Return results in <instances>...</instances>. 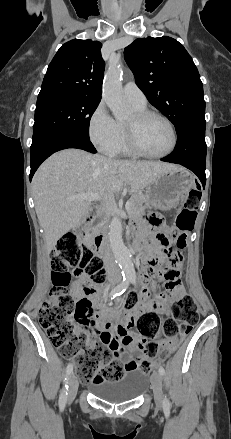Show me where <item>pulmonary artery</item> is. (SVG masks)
<instances>
[{"label": "pulmonary artery", "instance_id": "pulmonary-artery-1", "mask_svg": "<svg viewBox=\"0 0 231 439\" xmlns=\"http://www.w3.org/2000/svg\"><path fill=\"white\" fill-rule=\"evenodd\" d=\"M125 99L133 105L144 107L147 99L142 90L132 81L127 82L123 87Z\"/></svg>", "mask_w": 231, "mask_h": 439}]
</instances>
